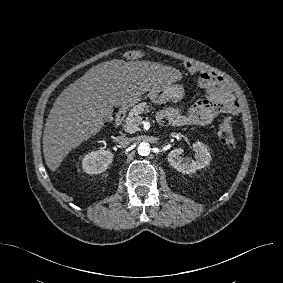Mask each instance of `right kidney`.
<instances>
[{
  "mask_svg": "<svg viewBox=\"0 0 283 283\" xmlns=\"http://www.w3.org/2000/svg\"><path fill=\"white\" fill-rule=\"evenodd\" d=\"M113 160V153L99 149L86 154L82 159V168L87 174H99L109 167Z\"/></svg>",
  "mask_w": 283,
  "mask_h": 283,
  "instance_id": "ca27d5eb",
  "label": "right kidney"
}]
</instances>
